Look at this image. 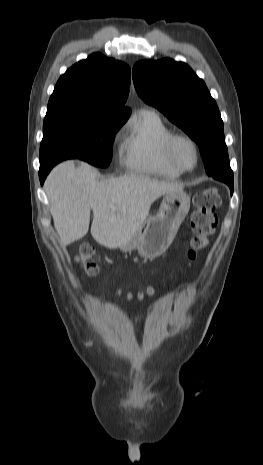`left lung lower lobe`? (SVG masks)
<instances>
[{"label": "left lung lower lobe", "instance_id": "obj_1", "mask_svg": "<svg viewBox=\"0 0 263 465\" xmlns=\"http://www.w3.org/2000/svg\"><path fill=\"white\" fill-rule=\"evenodd\" d=\"M203 160L205 163L206 172L214 176V168L219 165V162L212 157H203Z\"/></svg>", "mask_w": 263, "mask_h": 465}]
</instances>
